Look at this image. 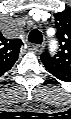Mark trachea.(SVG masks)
Instances as JSON below:
<instances>
[{
    "instance_id": "trachea-1",
    "label": "trachea",
    "mask_w": 71,
    "mask_h": 119,
    "mask_svg": "<svg viewBox=\"0 0 71 119\" xmlns=\"http://www.w3.org/2000/svg\"><path fill=\"white\" fill-rule=\"evenodd\" d=\"M28 41L31 43L41 44L43 41L42 33L37 29H33L28 36Z\"/></svg>"
}]
</instances>
